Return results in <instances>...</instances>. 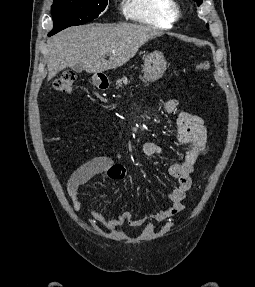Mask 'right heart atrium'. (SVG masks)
Masks as SVG:
<instances>
[{
  "instance_id": "obj_1",
  "label": "right heart atrium",
  "mask_w": 255,
  "mask_h": 287,
  "mask_svg": "<svg viewBox=\"0 0 255 287\" xmlns=\"http://www.w3.org/2000/svg\"><path fill=\"white\" fill-rule=\"evenodd\" d=\"M106 48H125V47H106Z\"/></svg>"
}]
</instances>
